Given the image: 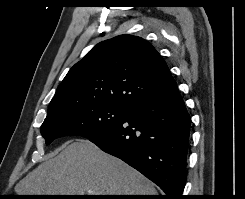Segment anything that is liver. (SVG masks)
Returning a JSON list of instances; mask_svg holds the SVG:
<instances>
[{"instance_id":"1","label":"liver","mask_w":245,"mask_h":199,"mask_svg":"<svg viewBox=\"0 0 245 199\" xmlns=\"http://www.w3.org/2000/svg\"><path fill=\"white\" fill-rule=\"evenodd\" d=\"M18 195H156L154 185L87 139L67 143L16 186Z\"/></svg>"}]
</instances>
